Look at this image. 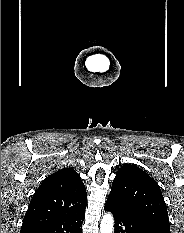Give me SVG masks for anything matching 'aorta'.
Listing matches in <instances>:
<instances>
[{
    "mask_svg": "<svg viewBox=\"0 0 184 233\" xmlns=\"http://www.w3.org/2000/svg\"><path fill=\"white\" fill-rule=\"evenodd\" d=\"M114 231V218L110 213L103 216L100 223V233H113Z\"/></svg>",
    "mask_w": 184,
    "mask_h": 233,
    "instance_id": "762f6f07",
    "label": "aorta"
}]
</instances>
